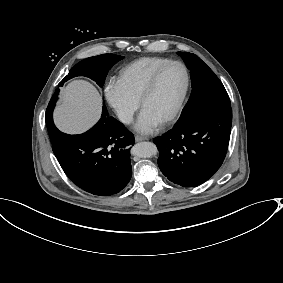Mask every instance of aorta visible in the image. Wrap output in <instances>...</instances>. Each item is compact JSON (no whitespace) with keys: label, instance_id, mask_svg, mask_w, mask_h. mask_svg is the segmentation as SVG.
Masks as SVG:
<instances>
[{"label":"aorta","instance_id":"762f6f07","mask_svg":"<svg viewBox=\"0 0 283 283\" xmlns=\"http://www.w3.org/2000/svg\"><path fill=\"white\" fill-rule=\"evenodd\" d=\"M132 154L140 158H150L158 152L157 147L152 142H140L133 146Z\"/></svg>","mask_w":283,"mask_h":283}]
</instances>
